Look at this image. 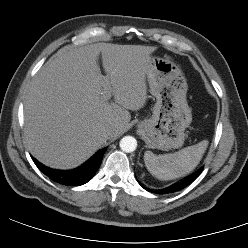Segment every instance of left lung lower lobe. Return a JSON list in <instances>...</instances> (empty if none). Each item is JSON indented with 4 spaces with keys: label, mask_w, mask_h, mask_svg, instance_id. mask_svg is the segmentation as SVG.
Masks as SVG:
<instances>
[{
    "label": "left lung lower lobe",
    "mask_w": 248,
    "mask_h": 248,
    "mask_svg": "<svg viewBox=\"0 0 248 248\" xmlns=\"http://www.w3.org/2000/svg\"><path fill=\"white\" fill-rule=\"evenodd\" d=\"M203 168H200L199 170H197L196 172H194L193 174L189 175L188 177L166 187L163 189H158V190H153V189H149L144 187L140 182L139 184L146 189L149 192H153L156 194H170V193H174L177 191L182 190L183 188H185L186 186H188L189 184H191L202 172Z\"/></svg>",
    "instance_id": "left-lung-lower-lobe-1"
}]
</instances>
